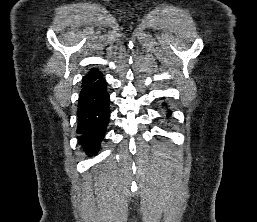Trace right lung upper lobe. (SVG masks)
<instances>
[{
	"label": "right lung upper lobe",
	"mask_w": 257,
	"mask_h": 222,
	"mask_svg": "<svg viewBox=\"0 0 257 222\" xmlns=\"http://www.w3.org/2000/svg\"><path fill=\"white\" fill-rule=\"evenodd\" d=\"M99 75H101V72L98 69H91L88 72V74L85 77H83L82 82L83 84L87 82H91L94 79H96Z\"/></svg>",
	"instance_id": "right-lung-upper-lobe-1"
}]
</instances>
